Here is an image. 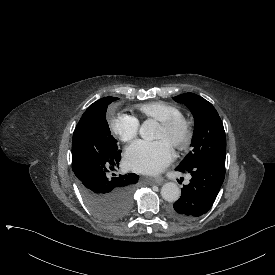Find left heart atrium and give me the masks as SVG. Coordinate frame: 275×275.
<instances>
[{
    "instance_id": "39dd6f15",
    "label": "left heart atrium",
    "mask_w": 275,
    "mask_h": 275,
    "mask_svg": "<svg viewBox=\"0 0 275 275\" xmlns=\"http://www.w3.org/2000/svg\"><path fill=\"white\" fill-rule=\"evenodd\" d=\"M173 158V147L166 139L153 142L141 141L126 152V161L131 169L149 174L160 172Z\"/></svg>"
}]
</instances>
